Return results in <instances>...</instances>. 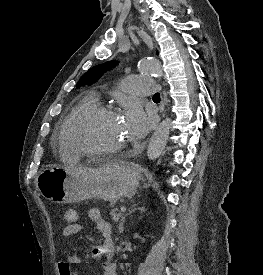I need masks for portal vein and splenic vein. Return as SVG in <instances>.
<instances>
[{"label":"portal vein and splenic vein","instance_id":"obj_1","mask_svg":"<svg viewBox=\"0 0 263 275\" xmlns=\"http://www.w3.org/2000/svg\"><path fill=\"white\" fill-rule=\"evenodd\" d=\"M120 210H121V212H126V207H125V206H122V207L120 208Z\"/></svg>","mask_w":263,"mask_h":275}]
</instances>
